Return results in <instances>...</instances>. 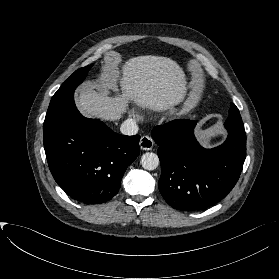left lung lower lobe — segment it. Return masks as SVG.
I'll return each instance as SVG.
<instances>
[{
	"label": "left lung lower lobe",
	"instance_id": "obj_1",
	"mask_svg": "<svg viewBox=\"0 0 279 279\" xmlns=\"http://www.w3.org/2000/svg\"><path fill=\"white\" fill-rule=\"evenodd\" d=\"M195 126V121L178 119L152 130L161 163L159 191L181 211H199L221 201L239 179L246 157L244 129L225 124L227 140L205 149L194 136Z\"/></svg>",
	"mask_w": 279,
	"mask_h": 279
}]
</instances>
